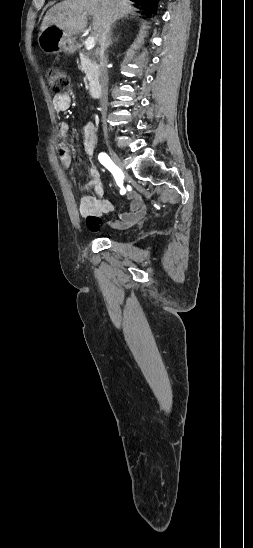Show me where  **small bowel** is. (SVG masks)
I'll return each instance as SVG.
<instances>
[{"instance_id":"c3829d8e","label":"small bowel","mask_w":253,"mask_h":548,"mask_svg":"<svg viewBox=\"0 0 253 548\" xmlns=\"http://www.w3.org/2000/svg\"><path fill=\"white\" fill-rule=\"evenodd\" d=\"M53 106L57 112H65L71 107V97L68 92L55 94L53 97ZM68 124L64 121L60 122L58 134L55 138L58 154L61 163L64 167L71 166V157L65 143ZM97 136L96 130L92 123H88L84 130V151L86 156L91 159L94 148L96 146ZM89 181L83 186V190H92L94 195H83L80 198L79 212L81 216L86 218L87 227L92 232L100 230L102 225V216L105 213L112 212L115 206L111 200L106 198L105 187L102 183L101 174L97 166L91 165L88 170ZM129 208L127 211L120 213L119 217L108 221V225L114 229H123L130 227L140 221L146 214V205L142 197L135 191H130L127 194Z\"/></svg>"}]
</instances>
